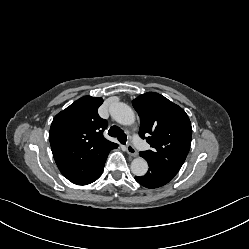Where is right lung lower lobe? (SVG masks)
Wrapping results in <instances>:
<instances>
[{
    "label": "right lung lower lobe",
    "instance_id": "right-lung-lower-lobe-1",
    "mask_svg": "<svg viewBox=\"0 0 249 249\" xmlns=\"http://www.w3.org/2000/svg\"><path fill=\"white\" fill-rule=\"evenodd\" d=\"M106 159H107V157L103 160L99 170L97 171L96 175L94 176V178L92 179V181L90 183L94 182L95 180H97L101 176L103 169H104Z\"/></svg>",
    "mask_w": 249,
    "mask_h": 249
}]
</instances>
